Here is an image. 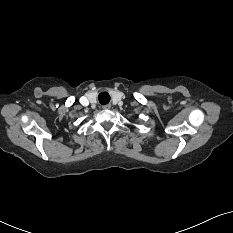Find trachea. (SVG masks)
<instances>
[{
	"label": "trachea",
	"mask_w": 233,
	"mask_h": 233,
	"mask_svg": "<svg viewBox=\"0 0 233 233\" xmlns=\"http://www.w3.org/2000/svg\"><path fill=\"white\" fill-rule=\"evenodd\" d=\"M98 100L102 105L108 104L110 101V95L108 92H101L98 95Z\"/></svg>",
	"instance_id": "1"
}]
</instances>
